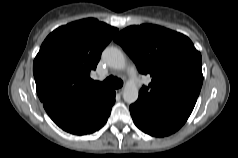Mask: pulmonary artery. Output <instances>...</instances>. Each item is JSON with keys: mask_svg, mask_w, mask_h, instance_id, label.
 Returning <instances> with one entry per match:
<instances>
[{"mask_svg": "<svg viewBox=\"0 0 238 158\" xmlns=\"http://www.w3.org/2000/svg\"><path fill=\"white\" fill-rule=\"evenodd\" d=\"M128 74L130 75L131 78H136L137 77V71H136V68L133 65H130L128 67Z\"/></svg>", "mask_w": 238, "mask_h": 158, "instance_id": "e3ab8cb5", "label": "pulmonary artery"}]
</instances>
